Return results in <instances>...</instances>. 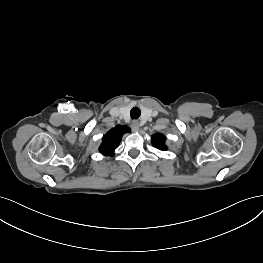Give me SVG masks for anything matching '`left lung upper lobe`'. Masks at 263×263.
Instances as JSON below:
<instances>
[{
	"mask_svg": "<svg viewBox=\"0 0 263 263\" xmlns=\"http://www.w3.org/2000/svg\"><path fill=\"white\" fill-rule=\"evenodd\" d=\"M166 138L162 134H155L152 136V144L160 150H166L167 147L164 145Z\"/></svg>",
	"mask_w": 263,
	"mask_h": 263,
	"instance_id": "5c2ea615",
	"label": "left lung upper lobe"
}]
</instances>
